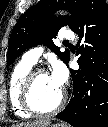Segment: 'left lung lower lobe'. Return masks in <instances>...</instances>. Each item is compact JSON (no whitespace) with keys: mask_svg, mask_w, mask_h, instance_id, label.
Listing matches in <instances>:
<instances>
[{"mask_svg":"<svg viewBox=\"0 0 108 127\" xmlns=\"http://www.w3.org/2000/svg\"><path fill=\"white\" fill-rule=\"evenodd\" d=\"M85 45L79 48V70H70L74 90L57 115L74 127H108V5L84 0L73 28ZM68 64V63H67Z\"/></svg>","mask_w":108,"mask_h":127,"instance_id":"obj_1","label":"left lung lower lobe"}]
</instances>
